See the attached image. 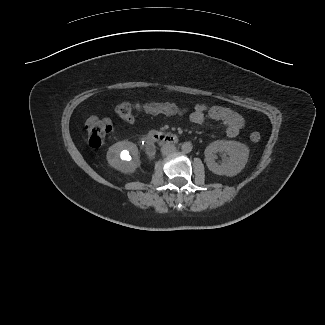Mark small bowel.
<instances>
[{
	"mask_svg": "<svg viewBox=\"0 0 325 325\" xmlns=\"http://www.w3.org/2000/svg\"><path fill=\"white\" fill-rule=\"evenodd\" d=\"M144 103L135 104V109L138 112L144 113L143 106ZM183 108V113L181 116H184L188 108L179 104ZM180 117V116H179ZM207 119L220 122L226 126V134L230 138H235L239 135L241 129L244 126V120L237 112L220 106H207L203 103H198L194 106L193 111L189 115V120L196 125H203L206 123Z\"/></svg>",
	"mask_w": 325,
	"mask_h": 325,
	"instance_id": "small-bowel-1",
	"label": "small bowel"
}]
</instances>
